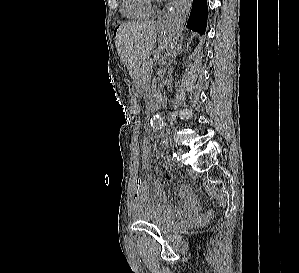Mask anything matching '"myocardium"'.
Wrapping results in <instances>:
<instances>
[{"label": "myocardium", "mask_w": 299, "mask_h": 273, "mask_svg": "<svg viewBox=\"0 0 299 273\" xmlns=\"http://www.w3.org/2000/svg\"><path fill=\"white\" fill-rule=\"evenodd\" d=\"M149 2H150V4L152 3V2H154V1H157V0H148Z\"/></svg>", "instance_id": "myocardium-1"}]
</instances>
